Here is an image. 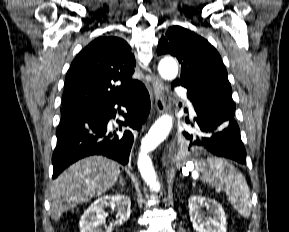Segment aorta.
<instances>
[{
    "mask_svg": "<svg viewBox=\"0 0 289 232\" xmlns=\"http://www.w3.org/2000/svg\"><path fill=\"white\" fill-rule=\"evenodd\" d=\"M158 70L161 77L167 80L176 78L178 74V66L172 59L162 60L158 66ZM172 123L173 120L170 115L161 116L141 141L138 169L147 185L156 192L160 190V184L157 182L156 173L148 153L164 141L172 128Z\"/></svg>",
    "mask_w": 289,
    "mask_h": 232,
    "instance_id": "762f6f07",
    "label": "aorta"
}]
</instances>
